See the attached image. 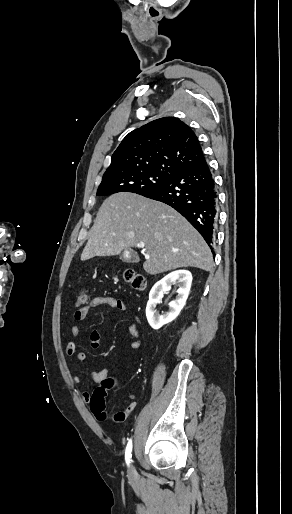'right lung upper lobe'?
Segmentation results:
<instances>
[{
  "mask_svg": "<svg viewBox=\"0 0 292 514\" xmlns=\"http://www.w3.org/2000/svg\"><path fill=\"white\" fill-rule=\"evenodd\" d=\"M205 157L192 129L175 117H163L130 132L111 158L103 179L145 172L174 174Z\"/></svg>",
  "mask_w": 292,
  "mask_h": 514,
  "instance_id": "right-lung-upper-lobe-1",
  "label": "right lung upper lobe"
}]
</instances>
